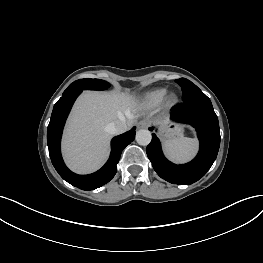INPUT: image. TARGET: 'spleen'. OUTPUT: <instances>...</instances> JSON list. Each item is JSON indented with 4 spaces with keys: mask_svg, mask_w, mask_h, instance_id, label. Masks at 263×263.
<instances>
[{
    "mask_svg": "<svg viewBox=\"0 0 263 263\" xmlns=\"http://www.w3.org/2000/svg\"><path fill=\"white\" fill-rule=\"evenodd\" d=\"M163 148L170 160L176 163H185L196 155L198 141L194 138L178 137L165 141Z\"/></svg>",
    "mask_w": 263,
    "mask_h": 263,
    "instance_id": "spleen-1",
    "label": "spleen"
}]
</instances>
